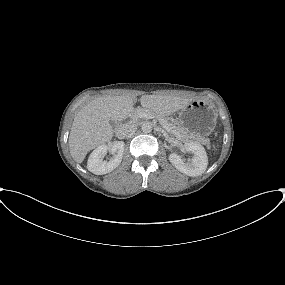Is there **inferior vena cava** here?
<instances>
[{"label":"inferior vena cava","mask_w":285,"mask_h":285,"mask_svg":"<svg viewBox=\"0 0 285 285\" xmlns=\"http://www.w3.org/2000/svg\"><path fill=\"white\" fill-rule=\"evenodd\" d=\"M135 131V125L131 123H126L121 125L117 130H116V136L119 139H124L131 135Z\"/></svg>","instance_id":"1"}]
</instances>
